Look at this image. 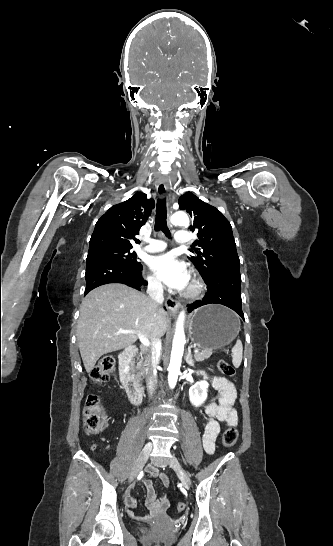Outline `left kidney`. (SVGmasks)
<instances>
[{
  "label": "left kidney",
  "instance_id": "1",
  "mask_svg": "<svg viewBox=\"0 0 333 546\" xmlns=\"http://www.w3.org/2000/svg\"><path fill=\"white\" fill-rule=\"evenodd\" d=\"M209 384L204 378L202 381L191 386L189 389V398L195 407L201 406L207 398Z\"/></svg>",
  "mask_w": 333,
  "mask_h": 546
}]
</instances>
